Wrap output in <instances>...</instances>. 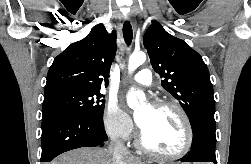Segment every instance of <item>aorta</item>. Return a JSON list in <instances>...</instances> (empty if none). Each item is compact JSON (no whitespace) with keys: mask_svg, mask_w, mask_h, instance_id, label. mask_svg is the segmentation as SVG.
Here are the masks:
<instances>
[{"mask_svg":"<svg viewBox=\"0 0 251 164\" xmlns=\"http://www.w3.org/2000/svg\"><path fill=\"white\" fill-rule=\"evenodd\" d=\"M146 61V54L144 52H135L129 58L128 71L132 73L140 65ZM145 100V94L143 91L135 90L132 88L127 95V104L130 108H136L139 102Z\"/></svg>","mask_w":251,"mask_h":164,"instance_id":"aorta-1","label":"aorta"}]
</instances>
